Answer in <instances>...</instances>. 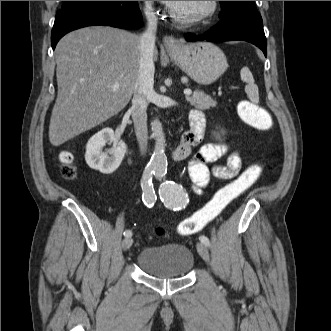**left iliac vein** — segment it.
Returning <instances> with one entry per match:
<instances>
[{
    "label": "left iliac vein",
    "instance_id": "obj_1",
    "mask_svg": "<svg viewBox=\"0 0 331 331\" xmlns=\"http://www.w3.org/2000/svg\"><path fill=\"white\" fill-rule=\"evenodd\" d=\"M196 248H197V251L199 253V255L207 262L209 263V252H208V249L206 247L205 244H203L202 242H199L196 244Z\"/></svg>",
    "mask_w": 331,
    "mask_h": 331
}]
</instances>
